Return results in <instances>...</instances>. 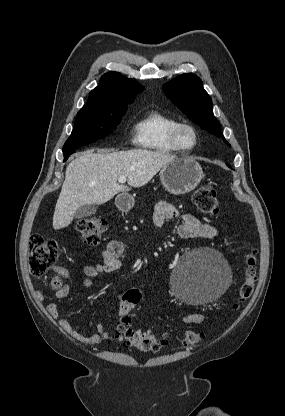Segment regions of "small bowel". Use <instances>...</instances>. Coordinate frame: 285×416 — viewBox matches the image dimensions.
Returning <instances> with one entry per match:
<instances>
[{
	"label": "small bowel",
	"mask_w": 285,
	"mask_h": 416,
	"mask_svg": "<svg viewBox=\"0 0 285 416\" xmlns=\"http://www.w3.org/2000/svg\"><path fill=\"white\" fill-rule=\"evenodd\" d=\"M181 219V224L178 226L177 233L183 239L204 238L213 239L217 237L218 230L207 223L201 222L198 218L191 214H180L178 210L166 203L159 202L155 208L153 216V224L155 227H160L166 220ZM124 252V244L118 240L110 241L103 251V260L100 263L88 264L83 267L82 283L85 287L92 286V279L103 274H110L115 272L120 267V258ZM60 274L66 276V271L60 269ZM70 286L67 282L57 289L55 296L57 299H64L68 296ZM39 300H43L44 294L42 291L37 292ZM48 314L53 318L61 328V330L69 335L71 338L88 345H97L102 341L117 339V335L110 333L104 324L98 323L96 325V332L90 335H83L77 332L67 318L61 317L58 307L55 303H49L46 307ZM206 319L205 315L194 313L186 315L183 322L186 324H200Z\"/></svg>",
	"instance_id": "small-bowel-1"
}]
</instances>
